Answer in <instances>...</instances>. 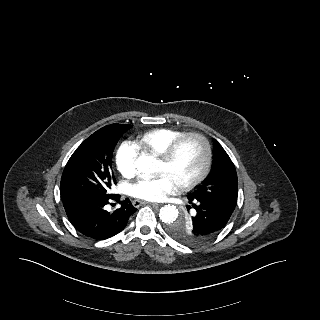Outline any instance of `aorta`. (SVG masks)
Returning <instances> with one entry per match:
<instances>
[{
  "instance_id": "762f6f07",
  "label": "aorta",
  "mask_w": 320,
  "mask_h": 320,
  "mask_svg": "<svg viewBox=\"0 0 320 320\" xmlns=\"http://www.w3.org/2000/svg\"><path fill=\"white\" fill-rule=\"evenodd\" d=\"M158 160L150 155H140L135 167L140 174L152 175L158 172ZM179 212L176 206L168 204L164 205L159 212L160 220L166 224H170L178 218Z\"/></svg>"
}]
</instances>
